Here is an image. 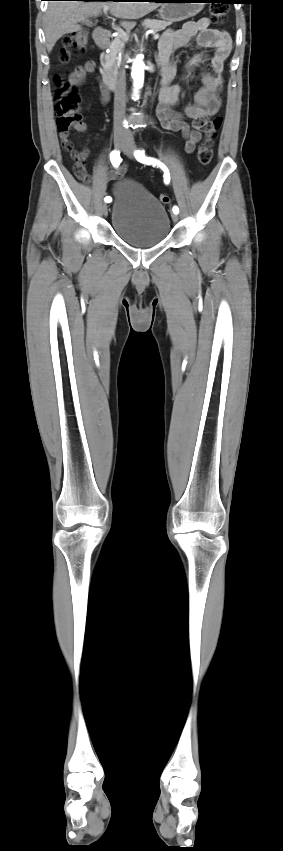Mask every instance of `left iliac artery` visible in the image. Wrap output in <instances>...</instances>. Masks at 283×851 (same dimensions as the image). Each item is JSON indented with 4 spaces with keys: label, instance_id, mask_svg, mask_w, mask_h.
Segmentation results:
<instances>
[{
    "label": "left iliac artery",
    "instance_id": "left-iliac-artery-1",
    "mask_svg": "<svg viewBox=\"0 0 283 851\" xmlns=\"http://www.w3.org/2000/svg\"><path fill=\"white\" fill-rule=\"evenodd\" d=\"M134 156L141 163L153 165V166H159L164 171V182H165V184H168L170 182L169 170L162 162H160L159 160H157L155 158L147 157L143 150L135 151ZM172 210H173V213H175V214H178V212H179V208L177 206H174Z\"/></svg>",
    "mask_w": 283,
    "mask_h": 851
}]
</instances>
